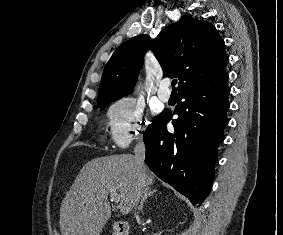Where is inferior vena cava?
Returning a JSON list of instances; mask_svg holds the SVG:
<instances>
[{"label": "inferior vena cava", "mask_w": 283, "mask_h": 235, "mask_svg": "<svg viewBox=\"0 0 283 235\" xmlns=\"http://www.w3.org/2000/svg\"><path fill=\"white\" fill-rule=\"evenodd\" d=\"M134 158H135V162L137 165V169H138V173H139V179H138V188L136 190V196L134 199L135 205H137L138 201L140 200L142 193H143V189H142V173L143 170L145 168V144L143 142V140H140L135 148H134Z\"/></svg>", "instance_id": "inferior-vena-cava-1"}]
</instances>
